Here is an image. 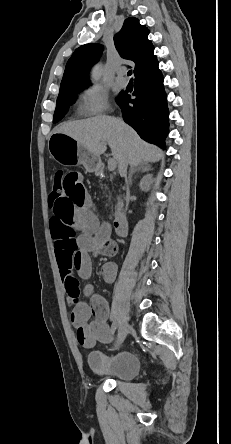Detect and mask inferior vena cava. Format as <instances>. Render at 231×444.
<instances>
[{
  "label": "inferior vena cava",
  "mask_w": 231,
  "mask_h": 444,
  "mask_svg": "<svg viewBox=\"0 0 231 444\" xmlns=\"http://www.w3.org/2000/svg\"><path fill=\"white\" fill-rule=\"evenodd\" d=\"M119 172H120V175L121 176H123V177H125V182H126V185H127V187H128V178H127V163H124L120 168H119ZM126 194L129 192L127 189L124 191ZM125 203V207H124V210L125 211H128L129 210V207L127 206L128 204H129V202H130V199L129 198H125L124 200H123Z\"/></svg>",
  "instance_id": "obj_1"
}]
</instances>
